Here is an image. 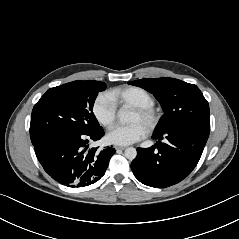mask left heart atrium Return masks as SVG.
<instances>
[{
  "label": "left heart atrium",
  "instance_id": "39dd6f15",
  "mask_svg": "<svg viewBox=\"0 0 239 239\" xmlns=\"http://www.w3.org/2000/svg\"><path fill=\"white\" fill-rule=\"evenodd\" d=\"M147 128L140 123L116 125L107 133V139L115 145H129L145 137Z\"/></svg>",
  "mask_w": 239,
  "mask_h": 239
}]
</instances>
